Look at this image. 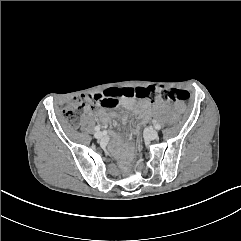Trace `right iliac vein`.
Segmentation results:
<instances>
[{"label":"right iliac vein","instance_id":"63e3f726","mask_svg":"<svg viewBox=\"0 0 241 241\" xmlns=\"http://www.w3.org/2000/svg\"><path fill=\"white\" fill-rule=\"evenodd\" d=\"M94 136H95V138H97V139H101V138L103 137V133L100 132V131H98V132H96V133L94 134Z\"/></svg>","mask_w":241,"mask_h":241}]
</instances>
